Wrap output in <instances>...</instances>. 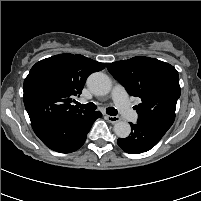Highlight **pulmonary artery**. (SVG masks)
<instances>
[{"label":"pulmonary artery","mask_w":201,"mask_h":201,"mask_svg":"<svg viewBox=\"0 0 201 201\" xmlns=\"http://www.w3.org/2000/svg\"><path fill=\"white\" fill-rule=\"evenodd\" d=\"M111 95L123 118L127 121L135 122L138 118V114L131 107L125 88L122 85L117 84L114 86Z\"/></svg>","instance_id":"obj_1"}]
</instances>
